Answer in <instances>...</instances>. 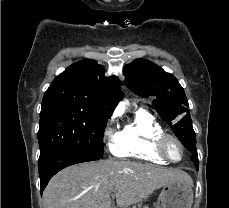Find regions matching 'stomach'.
I'll return each mask as SVG.
<instances>
[{"label":"stomach","mask_w":229,"mask_h":208,"mask_svg":"<svg viewBox=\"0 0 229 208\" xmlns=\"http://www.w3.org/2000/svg\"><path fill=\"white\" fill-rule=\"evenodd\" d=\"M193 196L192 186L182 182H172L168 186H163L156 208H191Z\"/></svg>","instance_id":"0dacf381"}]
</instances>
